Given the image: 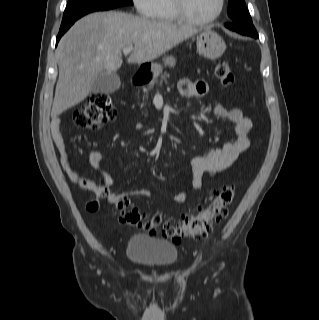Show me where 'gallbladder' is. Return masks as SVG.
<instances>
[{
    "label": "gallbladder",
    "mask_w": 319,
    "mask_h": 320,
    "mask_svg": "<svg viewBox=\"0 0 319 320\" xmlns=\"http://www.w3.org/2000/svg\"><path fill=\"white\" fill-rule=\"evenodd\" d=\"M120 77L108 71H102L93 81L91 92L97 93H113L120 87Z\"/></svg>",
    "instance_id": "gallbladder-1"
}]
</instances>
